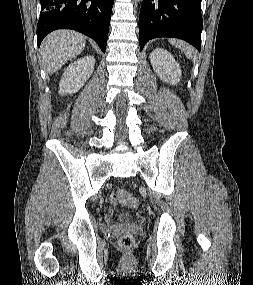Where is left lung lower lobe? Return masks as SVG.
Listing matches in <instances>:
<instances>
[{"label":"left lung lower lobe","mask_w":253,"mask_h":285,"mask_svg":"<svg viewBox=\"0 0 253 285\" xmlns=\"http://www.w3.org/2000/svg\"><path fill=\"white\" fill-rule=\"evenodd\" d=\"M201 0H143L139 15V44L150 39L174 37L201 50L203 21Z\"/></svg>","instance_id":"1"}]
</instances>
